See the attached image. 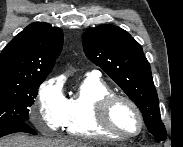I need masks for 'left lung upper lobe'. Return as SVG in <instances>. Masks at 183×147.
I'll list each match as a JSON object with an SVG mask.
<instances>
[{"label": "left lung upper lobe", "instance_id": "obj_1", "mask_svg": "<svg viewBox=\"0 0 183 147\" xmlns=\"http://www.w3.org/2000/svg\"><path fill=\"white\" fill-rule=\"evenodd\" d=\"M87 58L101 67L141 110L148 131L157 141L167 137L161 122L151 68L141 45L113 25L88 29L82 38Z\"/></svg>", "mask_w": 183, "mask_h": 147}]
</instances>
